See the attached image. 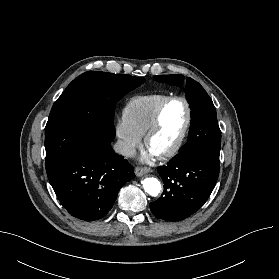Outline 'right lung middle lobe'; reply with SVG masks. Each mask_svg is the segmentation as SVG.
Returning a JSON list of instances; mask_svg holds the SVG:
<instances>
[{
	"label": "right lung middle lobe",
	"instance_id": "obj_1",
	"mask_svg": "<svg viewBox=\"0 0 279 279\" xmlns=\"http://www.w3.org/2000/svg\"><path fill=\"white\" fill-rule=\"evenodd\" d=\"M144 81L140 77L97 71L85 72L73 80L54 103L45 127L47 175L68 153L88 140L111 143L117 101Z\"/></svg>",
	"mask_w": 279,
	"mask_h": 279
}]
</instances>
